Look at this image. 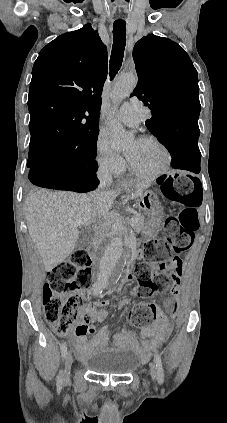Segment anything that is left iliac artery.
Here are the masks:
<instances>
[{
  "label": "left iliac artery",
  "instance_id": "44dca946",
  "mask_svg": "<svg viewBox=\"0 0 227 423\" xmlns=\"http://www.w3.org/2000/svg\"><path fill=\"white\" fill-rule=\"evenodd\" d=\"M154 359L156 363L157 380L159 384H162L164 381V371H163V366L161 362V356L159 355L157 351H154Z\"/></svg>",
  "mask_w": 227,
  "mask_h": 423
}]
</instances>
